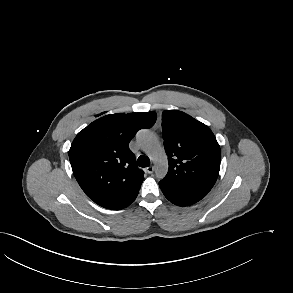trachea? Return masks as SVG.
Masks as SVG:
<instances>
[{
	"mask_svg": "<svg viewBox=\"0 0 293 293\" xmlns=\"http://www.w3.org/2000/svg\"><path fill=\"white\" fill-rule=\"evenodd\" d=\"M138 165L140 167H148L150 165V159L147 156L141 155L138 158Z\"/></svg>",
	"mask_w": 293,
	"mask_h": 293,
	"instance_id": "3493384b",
	"label": "trachea"
}]
</instances>
